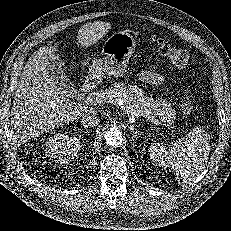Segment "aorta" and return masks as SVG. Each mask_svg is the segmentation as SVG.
I'll list each match as a JSON object with an SVG mask.
<instances>
[{
	"label": "aorta",
	"mask_w": 231,
	"mask_h": 231,
	"mask_svg": "<svg viewBox=\"0 0 231 231\" xmlns=\"http://www.w3.org/2000/svg\"><path fill=\"white\" fill-rule=\"evenodd\" d=\"M104 139L108 146L119 147L123 142V134L118 128L112 127L105 132Z\"/></svg>",
	"instance_id": "1"
}]
</instances>
